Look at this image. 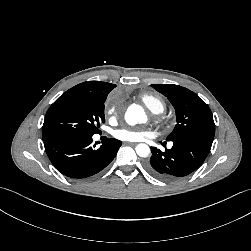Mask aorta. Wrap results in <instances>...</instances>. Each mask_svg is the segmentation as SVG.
I'll use <instances>...</instances> for the list:
<instances>
[{
  "label": "aorta",
  "mask_w": 251,
  "mask_h": 251,
  "mask_svg": "<svg viewBox=\"0 0 251 251\" xmlns=\"http://www.w3.org/2000/svg\"><path fill=\"white\" fill-rule=\"evenodd\" d=\"M125 120L129 125H135L137 123H145L147 116L141 106L133 104L127 109ZM136 153L140 157H147L150 153V148L147 144L140 143L136 146Z\"/></svg>",
  "instance_id": "obj_1"
}]
</instances>
